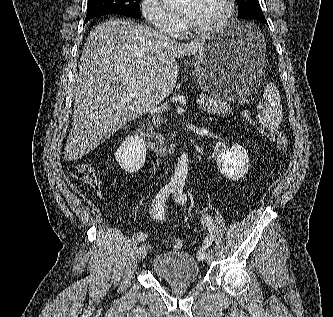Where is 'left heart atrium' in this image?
I'll use <instances>...</instances> for the list:
<instances>
[{
    "label": "left heart atrium",
    "instance_id": "left-heart-atrium-1",
    "mask_svg": "<svg viewBox=\"0 0 333 317\" xmlns=\"http://www.w3.org/2000/svg\"><path fill=\"white\" fill-rule=\"evenodd\" d=\"M190 11H191V7H190V4H187L185 6L182 7V9L180 10L179 12V15L182 19L184 20H188V17L190 15Z\"/></svg>",
    "mask_w": 333,
    "mask_h": 317
}]
</instances>
